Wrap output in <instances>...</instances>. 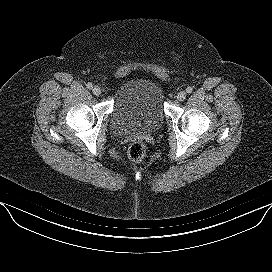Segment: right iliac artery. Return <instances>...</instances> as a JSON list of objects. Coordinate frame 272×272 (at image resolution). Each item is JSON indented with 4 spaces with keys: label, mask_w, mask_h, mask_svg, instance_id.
<instances>
[{
    "label": "right iliac artery",
    "mask_w": 272,
    "mask_h": 272,
    "mask_svg": "<svg viewBox=\"0 0 272 272\" xmlns=\"http://www.w3.org/2000/svg\"><path fill=\"white\" fill-rule=\"evenodd\" d=\"M86 87H87L88 89H91V88H93V85H92V83L89 82V83L86 84Z\"/></svg>",
    "instance_id": "right-iliac-artery-1"
}]
</instances>
